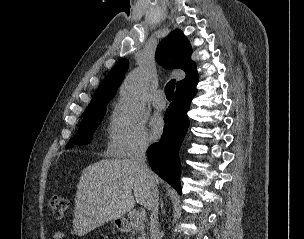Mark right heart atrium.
Wrapping results in <instances>:
<instances>
[{"label":"right heart atrium","mask_w":304,"mask_h":239,"mask_svg":"<svg viewBox=\"0 0 304 239\" xmlns=\"http://www.w3.org/2000/svg\"><path fill=\"white\" fill-rule=\"evenodd\" d=\"M149 145L144 123L116 106L105 137V148L118 157L142 154Z\"/></svg>","instance_id":"1"}]
</instances>
